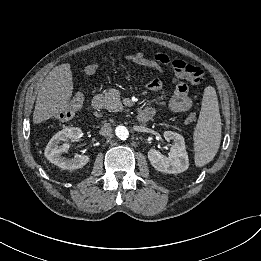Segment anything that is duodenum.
Wrapping results in <instances>:
<instances>
[{
  "mask_svg": "<svg viewBox=\"0 0 261 261\" xmlns=\"http://www.w3.org/2000/svg\"><path fill=\"white\" fill-rule=\"evenodd\" d=\"M92 106L96 110H101L103 107V99L101 95H96L93 99ZM154 114L152 108H144L137 115V121L139 123H146Z\"/></svg>",
  "mask_w": 261,
  "mask_h": 261,
  "instance_id": "obj_1",
  "label": "duodenum"
}]
</instances>
